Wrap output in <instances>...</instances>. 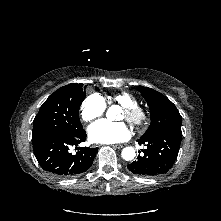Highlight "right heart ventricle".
<instances>
[{
	"mask_svg": "<svg viewBox=\"0 0 221 221\" xmlns=\"http://www.w3.org/2000/svg\"><path fill=\"white\" fill-rule=\"evenodd\" d=\"M110 100L119 103L123 107L137 105V99L130 93L120 92L110 97Z\"/></svg>",
	"mask_w": 221,
	"mask_h": 221,
	"instance_id": "right-heart-ventricle-1",
	"label": "right heart ventricle"
}]
</instances>
